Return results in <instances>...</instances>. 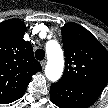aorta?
I'll use <instances>...</instances> for the list:
<instances>
[{
  "label": "aorta",
  "mask_w": 108,
  "mask_h": 108,
  "mask_svg": "<svg viewBox=\"0 0 108 108\" xmlns=\"http://www.w3.org/2000/svg\"><path fill=\"white\" fill-rule=\"evenodd\" d=\"M47 64L45 76L49 81H58L64 69L63 51L57 41L51 40L46 43Z\"/></svg>",
  "instance_id": "1"
}]
</instances>
